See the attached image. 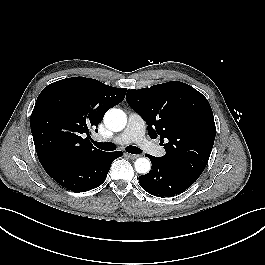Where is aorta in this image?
I'll return each mask as SVG.
<instances>
[{
    "mask_svg": "<svg viewBox=\"0 0 265 265\" xmlns=\"http://www.w3.org/2000/svg\"><path fill=\"white\" fill-rule=\"evenodd\" d=\"M104 123L108 129L119 132L125 128L127 117L124 111L112 108L105 113ZM134 166L135 170L140 174H147L151 169L150 161L147 158H138Z\"/></svg>",
    "mask_w": 265,
    "mask_h": 265,
    "instance_id": "aorta-1",
    "label": "aorta"
}]
</instances>
